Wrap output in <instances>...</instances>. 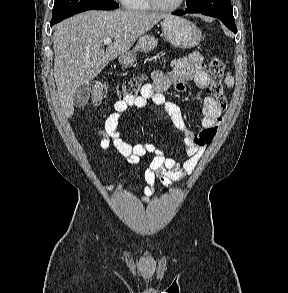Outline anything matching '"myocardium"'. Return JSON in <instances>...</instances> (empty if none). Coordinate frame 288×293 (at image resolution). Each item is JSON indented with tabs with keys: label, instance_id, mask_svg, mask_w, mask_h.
Segmentation results:
<instances>
[{
	"label": "myocardium",
	"instance_id": "obj_1",
	"mask_svg": "<svg viewBox=\"0 0 288 293\" xmlns=\"http://www.w3.org/2000/svg\"><path fill=\"white\" fill-rule=\"evenodd\" d=\"M148 2L151 5V7L154 9L161 10V11H174L182 6L184 0H178L175 4L169 5V6L162 5L157 0H148Z\"/></svg>",
	"mask_w": 288,
	"mask_h": 293
}]
</instances>
